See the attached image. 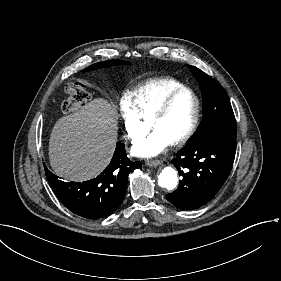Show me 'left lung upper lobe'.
<instances>
[{"instance_id":"obj_1","label":"left lung upper lobe","mask_w":281,"mask_h":281,"mask_svg":"<svg viewBox=\"0 0 281 281\" xmlns=\"http://www.w3.org/2000/svg\"><path fill=\"white\" fill-rule=\"evenodd\" d=\"M196 77L203 99V119L191 139L207 134L236 139V121L223 87L195 66L187 65Z\"/></svg>"}]
</instances>
